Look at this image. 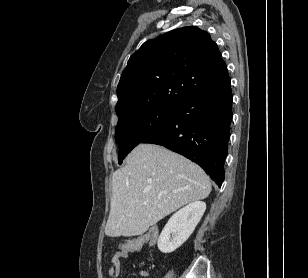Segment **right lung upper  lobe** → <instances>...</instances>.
<instances>
[{
  "label": "right lung upper lobe",
  "mask_w": 308,
  "mask_h": 278,
  "mask_svg": "<svg viewBox=\"0 0 308 278\" xmlns=\"http://www.w3.org/2000/svg\"><path fill=\"white\" fill-rule=\"evenodd\" d=\"M229 79L217 44L206 31L175 29L146 41L131 55L117 87L115 110L122 120L142 109L178 106Z\"/></svg>",
  "instance_id": "1"
}]
</instances>
